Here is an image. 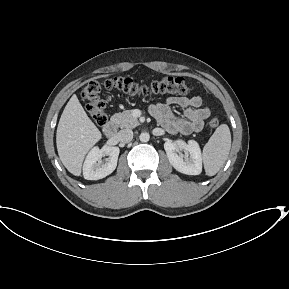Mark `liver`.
I'll use <instances>...</instances> for the list:
<instances>
[{
  "label": "liver",
  "mask_w": 289,
  "mask_h": 289,
  "mask_svg": "<svg viewBox=\"0 0 289 289\" xmlns=\"http://www.w3.org/2000/svg\"><path fill=\"white\" fill-rule=\"evenodd\" d=\"M101 137L74 94L63 110L56 133L58 155L70 173L81 175L85 155Z\"/></svg>",
  "instance_id": "1"
}]
</instances>
